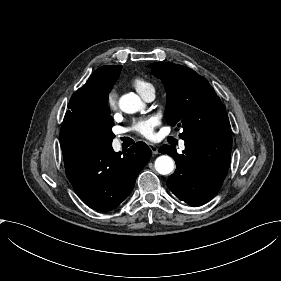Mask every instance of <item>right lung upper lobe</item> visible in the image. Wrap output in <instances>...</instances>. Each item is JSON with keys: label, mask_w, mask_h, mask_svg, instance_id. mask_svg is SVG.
<instances>
[{"label": "right lung upper lobe", "mask_w": 281, "mask_h": 281, "mask_svg": "<svg viewBox=\"0 0 281 281\" xmlns=\"http://www.w3.org/2000/svg\"><path fill=\"white\" fill-rule=\"evenodd\" d=\"M122 66H103L92 73L83 87L79 88L71 97L68 113H74L77 106L85 99L100 105H107L108 94L119 77Z\"/></svg>", "instance_id": "1"}]
</instances>
